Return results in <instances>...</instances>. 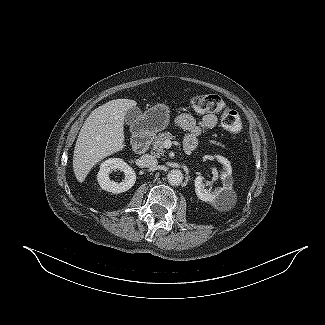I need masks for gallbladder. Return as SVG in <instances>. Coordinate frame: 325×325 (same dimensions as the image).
Here are the masks:
<instances>
[{"label": "gallbladder", "mask_w": 325, "mask_h": 325, "mask_svg": "<svg viewBox=\"0 0 325 325\" xmlns=\"http://www.w3.org/2000/svg\"><path fill=\"white\" fill-rule=\"evenodd\" d=\"M140 115H141L140 109L138 107H132L127 111L125 115V122L128 125H132L133 123L136 122V120H138Z\"/></svg>", "instance_id": "gallbladder-1"}]
</instances>
